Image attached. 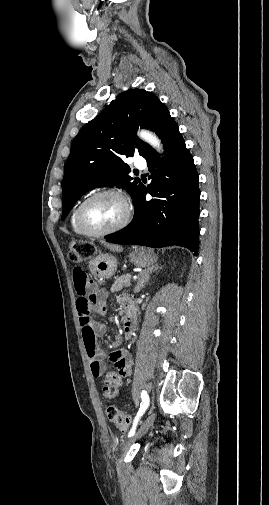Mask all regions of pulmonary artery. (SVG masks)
I'll return each mask as SVG.
<instances>
[{
    "instance_id": "e3ab8cb5",
    "label": "pulmonary artery",
    "mask_w": 269,
    "mask_h": 505,
    "mask_svg": "<svg viewBox=\"0 0 269 505\" xmlns=\"http://www.w3.org/2000/svg\"><path fill=\"white\" fill-rule=\"evenodd\" d=\"M134 165L135 167H137L138 169H145L146 168V162L144 159L142 158H136L134 160Z\"/></svg>"
}]
</instances>
